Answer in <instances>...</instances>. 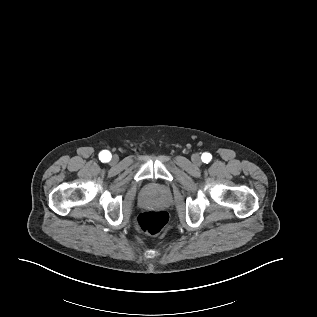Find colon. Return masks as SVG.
Here are the masks:
<instances>
[{
	"label": "colon",
	"mask_w": 317,
	"mask_h": 317,
	"mask_svg": "<svg viewBox=\"0 0 317 317\" xmlns=\"http://www.w3.org/2000/svg\"><path fill=\"white\" fill-rule=\"evenodd\" d=\"M140 229L148 235H156L168 222V214L164 210H151L139 214L137 219Z\"/></svg>",
	"instance_id": "obj_1"
}]
</instances>
